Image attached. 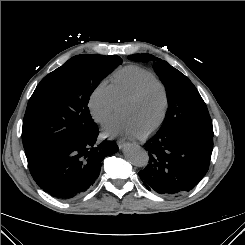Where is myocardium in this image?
Here are the masks:
<instances>
[{"instance_id":"1","label":"myocardium","mask_w":245,"mask_h":245,"mask_svg":"<svg viewBox=\"0 0 245 245\" xmlns=\"http://www.w3.org/2000/svg\"><path fill=\"white\" fill-rule=\"evenodd\" d=\"M151 85H156L161 89L162 94H163V109H162L161 115H160L159 119L157 120V122L151 128H149L145 132L141 133L139 135L140 138H146V137L152 135L164 123L166 116H167V113H168V110H169V104H170L169 92H168L167 87L165 86V84L162 81H160L156 78L147 80V81L141 83L138 87H136L120 103V108H121L124 104L136 100L144 92V90Z\"/></svg>"}]
</instances>
